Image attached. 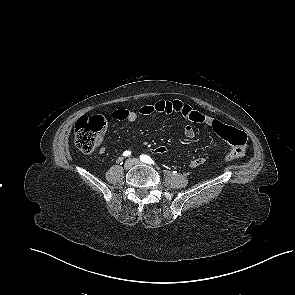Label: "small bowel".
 <instances>
[{
  "label": "small bowel",
  "instance_id": "small-bowel-1",
  "mask_svg": "<svg viewBox=\"0 0 295 295\" xmlns=\"http://www.w3.org/2000/svg\"><path fill=\"white\" fill-rule=\"evenodd\" d=\"M139 113L145 116H149L153 113H161L166 115L177 113L182 115L189 122V124H187L184 128V134L189 139L194 138L196 135L194 124L206 125L210 127L218 135H219L218 126L223 124L219 120L193 109L190 105L180 100H173V101L159 100L152 104L143 105L139 109ZM108 114L112 119L129 121V122H134L138 117V113L136 111L130 110V109H123V108L111 109L109 110ZM99 153L104 154L105 148L101 147L99 149ZM204 163H205V158L202 156H199L192 159L189 163V166L191 168H197L203 165Z\"/></svg>",
  "mask_w": 295,
  "mask_h": 295
}]
</instances>
